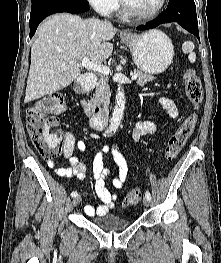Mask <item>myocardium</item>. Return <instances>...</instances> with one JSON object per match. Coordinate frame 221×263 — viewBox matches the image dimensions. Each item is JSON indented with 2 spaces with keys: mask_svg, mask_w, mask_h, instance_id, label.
<instances>
[{
  "mask_svg": "<svg viewBox=\"0 0 221 263\" xmlns=\"http://www.w3.org/2000/svg\"><path fill=\"white\" fill-rule=\"evenodd\" d=\"M166 2L167 0H161L155 9L148 12H142L134 9L127 0H121L122 7L128 15L142 19L151 18L159 14L164 9Z\"/></svg>",
  "mask_w": 221,
  "mask_h": 263,
  "instance_id": "obj_1",
  "label": "myocardium"
}]
</instances>
